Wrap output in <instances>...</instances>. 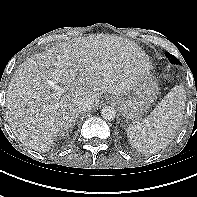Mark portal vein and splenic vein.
I'll use <instances>...</instances> for the list:
<instances>
[{"mask_svg": "<svg viewBox=\"0 0 197 197\" xmlns=\"http://www.w3.org/2000/svg\"><path fill=\"white\" fill-rule=\"evenodd\" d=\"M49 84L54 88V90H55V94L54 95L56 97H59V96L62 95V93L64 92V89L61 86L57 85L53 81H49Z\"/></svg>", "mask_w": 197, "mask_h": 197, "instance_id": "18ae733b", "label": "portal vein and splenic vein"}]
</instances>
